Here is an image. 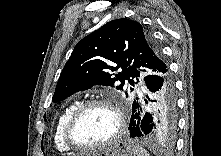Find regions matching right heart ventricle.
<instances>
[{"mask_svg":"<svg viewBox=\"0 0 221 156\" xmlns=\"http://www.w3.org/2000/svg\"><path fill=\"white\" fill-rule=\"evenodd\" d=\"M82 102L80 100H75L70 103H68L64 109L59 114L54 132H53V142L55 148L61 152V153H67L70 152L72 149L69 148L64 140H63V128L65 125L66 120L68 119L69 115L73 112L74 109H76Z\"/></svg>","mask_w":221,"mask_h":156,"instance_id":"e07e8e85","label":"right heart ventricle"}]
</instances>
